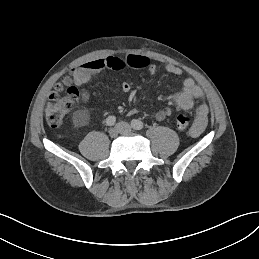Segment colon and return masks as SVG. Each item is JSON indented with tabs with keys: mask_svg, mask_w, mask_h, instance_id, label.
Instances as JSON below:
<instances>
[{
	"mask_svg": "<svg viewBox=\"0 0 259 259\" xmlns=\"http://www.w3.org/2000/svg\"><path fill=\"white\" fill-rule=\"evenodd\" d=\"M85 94L71 84V78L67 77L57 83L49 96L46 107V121L52 128L59 127L67 113L82 99ZM176 126L179 130L190 128L191 120L185 114H178L175 117Z\"/></svg>",
	"mask_w": 259,
	"mask_h": 259,
	"instance_id": "5ec220e1",
	"label": "colon"
}]
</instances>
